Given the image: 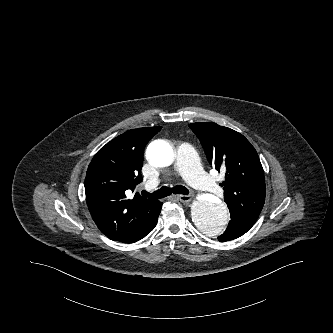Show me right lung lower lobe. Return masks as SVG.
<instances>
[{"mask_svg": "<svg viewBox=\"0 0 333 333\" xmlns=\"http://www.w3.org/2000/svg\"><path fill=\"white\" fill-rule=\"evenodd\" d=\"M162 208V203L160 201L156 202L149 209L140 214L131 223L129 230L117 239L123 243H134L147 234H149L157 224L158 216Z\"/></svg>", "mask_w": 333, "mask_h": 333, "instance_id": "right-lung-lower-lobe-1", "label": "right lung lower lobe"}]
</instances>
